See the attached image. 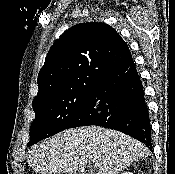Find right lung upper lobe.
Segmentation results:
<instances>
[{
  "instance_id": "right-lung-upper-lobe-1",
  "label": "right lung upper lobe",
  "mask_w": 175,
  "mask_h": 174,
  "mask_svg": "<svg viewBox=\"0 0 175 174\" xmlns=\"http://www.w3.org/2000/svg\"><path fill=\"white\" fill-rule=\"evenodd\" d=\"M132 60L121 36L105 23H81L55 41L38 75L33 103L86 85Z\"/></svg>"
}]
</instances>
